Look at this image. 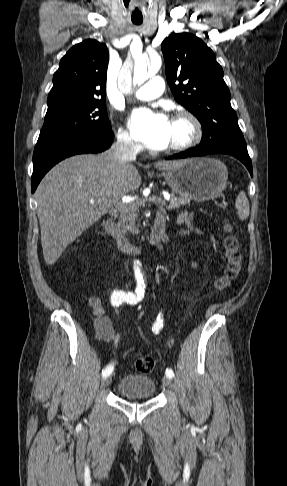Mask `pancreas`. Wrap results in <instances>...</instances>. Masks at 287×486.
I'll return each instance as SVG.
<instances>
[{"label":"pancreas","instance_id":"cf45deb5","mask_svg":"<svg viewBox=\"0 0 287 486\" xmlns=\"http://www.w3.org/2000/svg\"><path fill=\"white\" fill-rule=\"evenodd\" d=\"M139 201L137 203H131L122 205L118 227L123 233L131 232L134 234L139 233V219L138 211L140 205L144 202ZM190 199L185 197H177L174 194L170 195L169 204L166 206L168 210L178 209L183 205L189 204Z\"/></svg>","mask_w":287,"mask_h":486}]
</instances>
